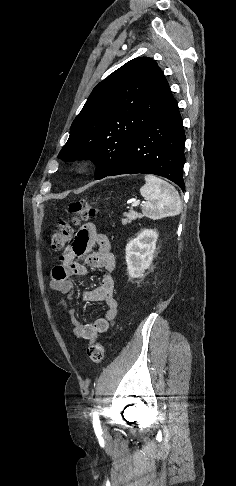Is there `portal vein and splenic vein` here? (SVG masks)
I'll return each mask as SVG.
<instances>
[{"label": "portal vein and splenic vein", "mask_w": 236, "mask_h": 486, "mask_svg": "<svg viewBox=\"0 0 236 486\" xmlns=\"http://www.w3.org/2000/svg\"><path fill=\"white\" fill-rule=\"evenodd\" d=\"M139 204H140V201H135L134 203H132V208L138 207Z\"/></svg>", "instance_id": "obj_1"}]
</instances>
